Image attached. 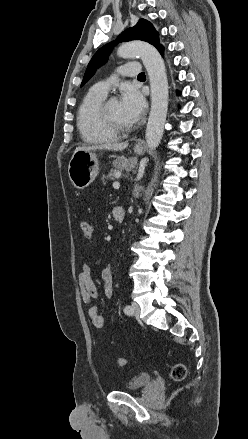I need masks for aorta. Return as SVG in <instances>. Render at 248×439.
<instances>
[{"mask_svg": "<svg viewBox=\"0 0 248 439\" xmlns=\"http://www.w3.org/2000/svg\"><path fill=\"white\" fill-rule=\"evenodd\" d=\"M119 57L139 56L148 72L151 87V110L146 127V142L150 149L160 144L168 110V80L164 61L155 47L142 41L122 44L117 51Z\"/></svg>", "mask_w": 248, "mask_h": 439, "instance_id": "762f6f07", "label": "aorta"}]
</instances>
